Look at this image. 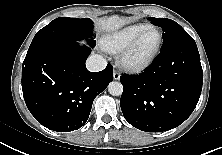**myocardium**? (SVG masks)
Wrapping results in <instances>:
<instances>
[{
	"label": "myocardium",
	"mask_w": 222,
	"mask_h": 155,
	"mask_svg": "<svg viewBox=\"0 0 222 155\" xmlns=\"http://www.w3.org/2000/svg\"><path fill=\"white\" fill-rule=\"evenodd\" d=\"M156 32L158 34V42L152 52L142 61L135 62L131 60V55L143 38L150 32ZM163 43V36L161 31L154 26H151L144 32H142L139 36H137L131 43H129L125 48H123L118 55V63L121 68L131 73H140L151 66V64L156 59L161 46Z\"/></svg>",
	"instance_id": "obj_1"
}]
</instances>
